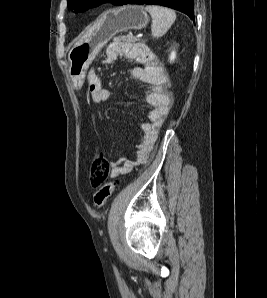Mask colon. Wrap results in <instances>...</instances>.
Returning <instances> with one entry per match:
<instances>
[{
    "label": "colon",
    "mask_w": 267,
    "mask_h": 298,
    "mask_svg": "<svg viewBox=\"0 0 267 298\" xmlns=\"http://www.w3.org/2000/svg\"><path fill=\"white\" fill-rule=\"evenodd\" d=\"M110 174V162L103 152L94 155L90 169V183L97 191L94 194V203L97 207H103L112 193L116 182L107 181Z\"/></svg>",
    "instance_id": "1"
}]
</instances>
